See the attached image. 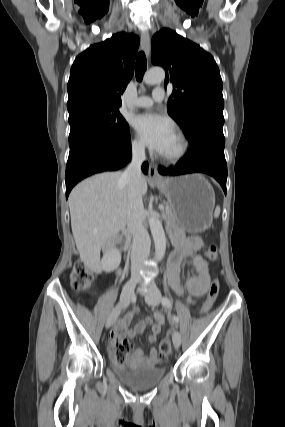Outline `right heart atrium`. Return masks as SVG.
I'll return each mask as SVG.
<instances>
[{"instance_id": "right-heart-atrium-1", "label": "right heart atrium", "mask_w": 285, "mask_h": 427, "mask_svg": "<svg viewBox=\"0 0 285 427\" xmlns=\"http://www.w3.org/2000/svg\"><path fill=\"white\" fill-rule=\"evenodd\" d=\"M130 148L135 155H142L144 153V144L137 137L132 138Z\"/></svg>"}]
</instances>
